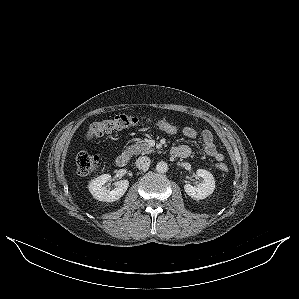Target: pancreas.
I'll use <instances>...</instances> for the list:
<instances>
[{
  "instance_id": "obj_1",
  "label": "pancreas",
  "mask_w": 299,
  "mask_h": 299,
  "mask_svg": "<svg viewBox=\"0 0 299 299\" xmlns=\"http://www.w3.org/2000/svg\"><path fill=\"white\" fill-rule=\"evenodd\" d=\"M154 150L147 143H134L128 146L125 153L129 155L150 154Z\"/></svg>"
}]
</instances>
